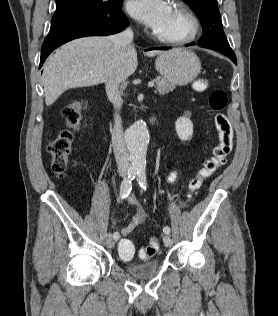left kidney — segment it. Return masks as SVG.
Returning <instances> with one entry per match:
<instances>
[{"label":"left kidney","mask_w":278,"mask_h":316,"mask_svg":"<svg viewBox=\"0 0 278 316\" xmlns=\"http://www.w3.org/2000/svg\"><path fill=\"white\" fill-rule=\"evenodd\" d=\"M175 128L178 137L182 141L189 140L193 134V124L192 122L186 117H180L175 122Z\"/></svg>","instance_id":"obj_1"}]
</instances>
